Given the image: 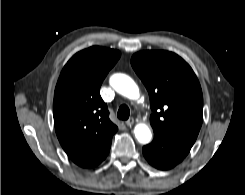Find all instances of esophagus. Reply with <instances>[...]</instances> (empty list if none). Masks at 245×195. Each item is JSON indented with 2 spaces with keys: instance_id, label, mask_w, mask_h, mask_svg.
Listing matches in <instances>:
<instances>
[{
  "instance_id": "34e87169",
  "label": "esophagus",
  "mask_w": 245,
  "mask_h": 195,
  "mask_svg": "<svg viewBox=\"0 0 245 195\" xmlns=\"http://www.w3.org/2000/svg\"><path fill=\"white\" fill-rule=\"evenodd\" d=\"M135 120L133 118H130L126 121V125L131 127L134 124Z\"/></svg>"
}]
</instances>
